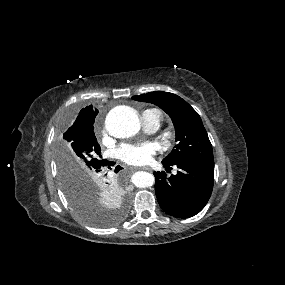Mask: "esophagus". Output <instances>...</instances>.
<instances>
[{
    "label": "esophagus",
    "instance_id": "1",
    "mask_svg": "<svg viewBox=\"0 0 285 285\" xmlns=\"http://www.w3.org/2000/svg\"><path fill=\"white\" fill-rule=\"evenodd\" d=\"M142 170H145V171H148V172H152V169L149 168V167H144V168H142Z\"/></svg>",
    "mask_w": 285,
    "mask_h": 285
}]
</instances>
